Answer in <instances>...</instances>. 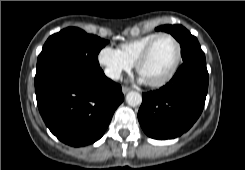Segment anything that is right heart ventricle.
Listing matches in <instances>:
<instances>
[{
    "mask_svg": "<svg viewBox=\"0 0 245 170\" xmlns=\"http://www.w3.org/2000/svg\"><path fill=\"white\" fill-rule=\"evenodd\" d=\"M158 34L159 33H150L125 42L120 45V51L131 64H134L145 46Z\"/></svg>",
    "mask_w": 245,
    "mask_h": 170,
    "instance_id": "1",
    "label": "right heart ventricle"
}]
</instances>
